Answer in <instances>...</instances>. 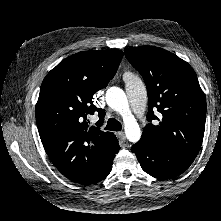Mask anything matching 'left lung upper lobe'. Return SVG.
I'll use <instances>...</instances> for the list:
<instances>
[{
  "label": "left lung upper lobe",
  "mask_w": 221,
  "mask_h": 221,
  "mask_svg": "<svg viewBox=\"0 0 221 221\" xmlns=\"http://www.w3.org/2000/svg\"><path fill=\"white\" fill-rule=\"evenodd\" d=\"M142 75L148 92L149 123L139 145H162L195 159L205 130L206 99L192 67L173 53L154 46L124 50ZM158 111L159 118L154 114Z\"/></svg>",
  "instance_id": "left-lung-upper-lobe-1"
}]
</instances>
